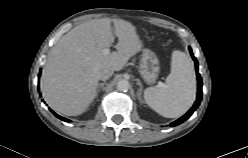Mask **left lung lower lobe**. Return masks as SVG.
<instances>
[{
    "label": "left lung lower lobe",
    "mask_w": 248,
    "mask_h": 158,
    "mask_svg": "<svg viewBox=\"0 0 248 158\" xmlns=\"http://www.w3.org/2000/svg\"><path fill=\"white\" fill-rule=\"evenodd\" d=\"M190 50V54L195 62L196 65V75H197V79H198V93H197V99L196 102L194 103L193 107L181 118H179L178 120H176L175 122L171 123V126H177L181 123H183L185 120H187L192 114L193 112L197 109V107L200 104L201 98H202V79L200 74L198 73V62L196 60V58L194 57L191 48L189 47Z\"/></svg>",
    "instance_id": "1"
}]
</instances>
